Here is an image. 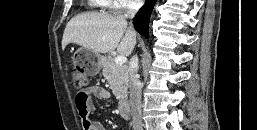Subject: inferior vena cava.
I'll return each instance as SVG.
<instances>
[{"label": "inferior vena cava", "instance_id": "obj_1", "mask_svg": "<svg viewBox=\"0 0 257 130\" xmlns=\"http://www.w3.org/2000/svg\"><path fill=\"white\" fill-rule=\"evenodd\" d=\"M142 3V0H132L124 18H134ZM129 28L134 30L132 26ZM129 88L133 130H142L141 83L138 76V57L136 55L131 58L129 63Z\"/></svg>", "mask_w": 257, "mask_h": 130}]
</instances>
